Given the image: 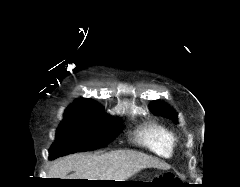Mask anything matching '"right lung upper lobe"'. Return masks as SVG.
Wrapping results in <instances>:
<instances>
[{
    "label": "right lung upper lobe",
    "instance_id": "obj_1",
    "mask_svg": "<svg viewBox=\"0 0 240 187\" xmlns=\"http://www.w3.org/2000/svg\"><path fill=\"white\" fill-rule=\"evenodd\" d=\"M66 111H84L104 114L98 103L90 99H77Z\"/></svg>",
    "mask_w": 240,
    "mask_h": 187
}]
</instances>
